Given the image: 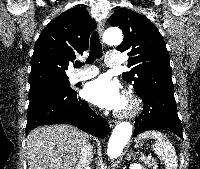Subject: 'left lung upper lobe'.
<instances>
[{
  "label": "left lung upper lobe",
  "mask_w": 200,
  "mask_h": 169,
  "mask_svg": "<svg viewBox=\"0 0 200 169\" xmlns=\"http://www.w3.org/2000/svg\"><path fill=\"white\" fill-rule=\"evenodd\" d=\"M111 26L122 29L123 42L116 48L128 51L130 71L122 73L140 97L148 90L174 93L169 54L155 25L130 9L120 8L109 19Z\"/></svg>",
  "instance_id": "5c2ea615"
}]
</instances>
